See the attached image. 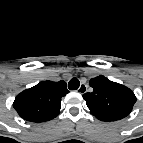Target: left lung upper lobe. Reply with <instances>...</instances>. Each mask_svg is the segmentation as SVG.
I'll return each instance as SVG.
<instances>
[{"instance_id": "obj_1", "label": "left lung upper lobe", "mask_w": 143, "mask_h": 143, "mask_svg": "<svg viewBox=\"0 0 143 143\" xmlns=\"http://www.w3.org/2000/svg\"><path fill=\"white\" fill-rule=\"evenodd\" d=\"M92 92L85 93L92 115L101 121H117L128 116L136 102L133 91L100 75L89 82Z\"/></svg>"}]
</instances>
